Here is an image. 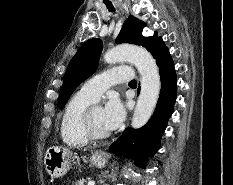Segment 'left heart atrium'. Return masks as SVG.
<instances>
[{"mask_svg":"<svg viewBox=\"0 0 233 185\" xmlns=\"http://www.w3.org/2000/svg\"><path fill=\"white\" fill-rule=\"evenodd\" d=\"M102 112L104 124L109 131L119 127L125 117L124 105L116 96H112L107 101Z\"/></svg>","mask_w":233,"mask_h":185,"instance_id":"obj_1","label":"left heart atrium"}]
</instances>
